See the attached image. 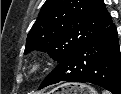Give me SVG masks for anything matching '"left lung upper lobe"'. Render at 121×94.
I'll list each match as a JSON object with an SVG mask.
<instances>
[{"label": "left lung upper lobe", "instance_id": "1", "mask_svg": "<svg viewBox=\"0 0 121 94\" xmlns=\"http://www.w3.org/2000/svg\"><path fill=\"white\" fill-rule=\"evenodd\" d=\"M111 23L103 0H47L28 34L25 53L38 49L60 63Z\"/></svg>", "mask_w": 121, "mask_h": 94}]
</instances>
